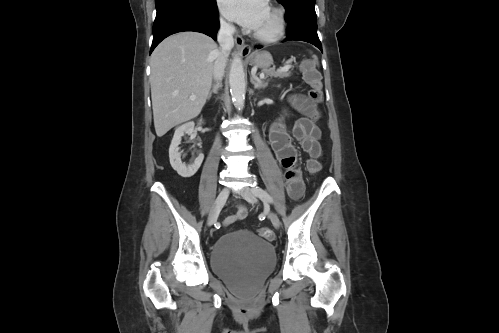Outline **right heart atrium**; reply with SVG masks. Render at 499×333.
<instances>
[{"instance_id":"right-heart-atrium-1","label":"right heart atrium","mask_w":499,"mask_h":333,"mask_svg":"<svg viewBox=\"0 0 499 333\" xmlns=\"http://www.w3.org/2000/svg\"><path fill=\"white\" fill-rule=\"evenodd\" d=\"M222 26H223V28H225L227 30L230 29V26L226 22H224V21H222Z\"/></svg>"}]
</instances>
